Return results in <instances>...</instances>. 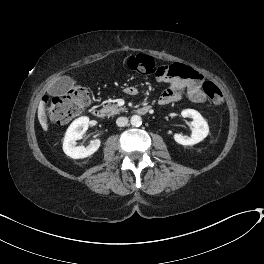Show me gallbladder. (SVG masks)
Segmentation results:
<instances>
[{
    "label": "gallbladder",
    "mask_w": 264,
    "mask_h": 264,
    "mask_svg": "<svg viewBox=\"0 0 264 264\" xmlns=\"http://www.w3.org/2000/svg\"><path fill=\"white\" fill-rule=\"evenodd\" d=\"M74 86V80L70 77H62L60 78L53 86L50 91L52 93L63 94L67 92L70 88Z\"/></svg>",
    "instance_id": "obj_1"
}]
</instances>
